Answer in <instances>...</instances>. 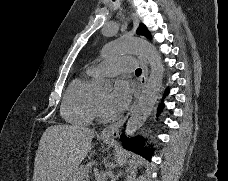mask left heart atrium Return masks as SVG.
Instances as JSON below:
<instances>
[{"mask_svg":"<svg viewBox=\"0 0 228 181\" xmlns=\"http://www.w3.org/2000/svg\"><path fill=\"white\" fill-rule=\"evenodd\" d=\"M130 94L131 88L129 83L125 80L117 81L108 100L109 108L115 112L122 111L128 104ZM120 97L121 101H118Z\"/></svg>","mask_w":228,"mask_h":181,"instance_id":"39dd6f15","label":"left heart atrium"}]
</instances>
